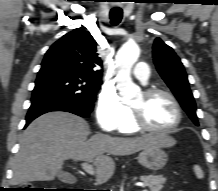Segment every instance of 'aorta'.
I'll return each mask as SVG.
<instances>
[{
    "mask_svg": "<svg viewBox=\"0 0 218 191\" xmlns=\"http://www.w3.org/2000/svg\"><path fill=\"white\" fill-rule=\"evenodd\" d=\"M139 55L140 49L135 42L125 43L116 55L118 89L125 104H130L140 94V88L131 79V69Z\"/></svg>",
    "mask_w": 218,
    "mask_h": 191,
    "instance_id": "1",
    "label": "aorta"
}]
</instances>
